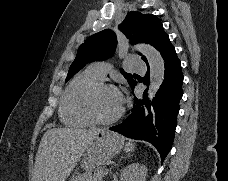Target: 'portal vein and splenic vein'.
Wrapping results in <instances>:
<instances>
[{"mask_svg": "<svg viewBox=\"0 0 228 181\" xmlns=\"http://www.w3.org/2000/svg\"><path fill=\"white\" fill-rule=\"evenodd\" d=\"M108 170H109V169H108L107 167H106V168L104 167V168L102 169V171H101V172H102L103 174H104V173H106V174H107V173L109 172Z\"/></svg>", "mask_w": 228, "mask_h": 181, "instance_id": "obj_1", "label": "portal vein and splenic vein"}]
</instances>
